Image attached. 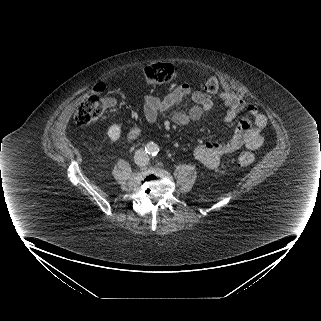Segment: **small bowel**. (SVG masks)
I'll use <instances>...</instances> for the list:
<instances>
[{
    "label": "small bowel",
    "instance_id": "1",
    "mask_svg": "<svg viewBox=\"0 0 321 321\" xmlns=\"http://www.w3.org/2000/svg\"><path fill=\"white\" fill-rule=\"evenodd\" d=\"M187 97L192 100L194 105L188 112L177 111L172 114V121L177 125L184 126L191 121L199 120L213 106L212 98L206 93L200 90H192L187 84H181L163 97L152 94L146 95L144 98V116L148 122H155L159 114L169 111ZM218 98L225 106L224 122L235 121L243 112L247 114V117L239 120L236 131L229 140L225 142L209 141L194 147V158L212 169L219 166L222 156L241 147L251 150L260 148L264 142L263 131L267 125L266 116L254 106L245 104L237 95L221 92ZM114 104V98L106 99L107 106L112 107ZM139 133L140 128L134 125L130 128L127 139L134 140Z\"/></svg>",
    "mask_w": 321,
    "mask_h": 321
}]
</instances>
